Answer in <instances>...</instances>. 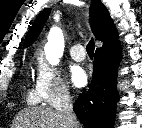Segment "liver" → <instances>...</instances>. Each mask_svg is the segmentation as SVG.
<instances>
[{"instance_id":"1","label":"liver","mask_w":142,"mask_h":128,"mask_svg":"<svg viewBox=\"0 0 142 128\" xmlns=\"http://www.w3.org/2000/svg\"><path fill=\"white\" fill-rule=\"evenodd\" d=\"M12 126V128H67V123L61 113L52 108H26L16 115Z\"/></svg>"}]
</instances>
